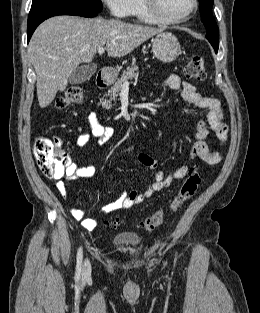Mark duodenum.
<instances>
[{"instance_id": "410a0bca", "label": "duodenum", "mask_w": 260, "mask_h": 313, "mask_svg": "<svg viewBox=\"0 0 260 313\" xmlns=\"http://www.w3.org/2000/svg\"><path fill=\"white\" fill-rule=\"evenodd\" d=\"M109 84V73L106 69H102L98 72L96 77V85L98 88H105Z\"/></svg>"}]
</instances>
